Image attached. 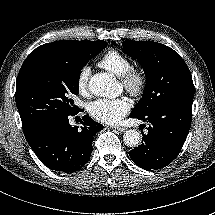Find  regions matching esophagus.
I'll return each mask as SVG.
<instances>
[{
    "instance_id": "esophagus-1",
    "label": "esophagus",
    "mask_w": 215,
    "mask_h": 215,
    "mask_svg": "<svg viewBox=\"0 0 215 215\" xmlns=\"http://www.w3.org/2000/svg\"><path fill=\"white\" fill-rule=\"evenodd\" d=\"M115 130H117L119 132H124L126 130V128H124V127H115Z\"/></svg>"
}]
</instances>
